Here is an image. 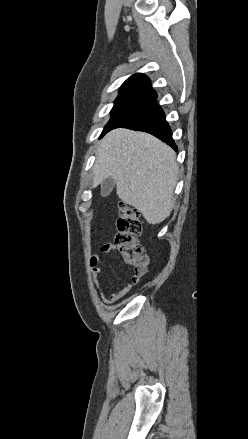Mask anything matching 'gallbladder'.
<instances>
[{"instance_id":"bac80fb5","label":"gallbladder","mask_w":248,"mask_h":439,"mask_svg":"<svg viewBox=\"0 0 248 439\" xmlns=\"http://www.w3.org/2000/svg\"><path fill=\"white\" fill-rule=\"evenodd\" d=\"M114 186H115V182L112 178L109 177V178L105 179L101 185L102 196H104V197L108 196L112 192Z\"/></svg>"}]
</instances>
